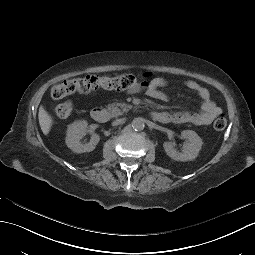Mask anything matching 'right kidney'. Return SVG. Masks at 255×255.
<instances>
[{
	"instance_id": "ca27d5eb",
	"label": "right kidney",
	"mask_w": 255,
	"mask_h": 255,
	"mask_svg": "<svg viewBox=\"0 0 255 255\" xmlns=\"http://www.w3.org/2000/svg\"><path fill=\"white\" fill-rule=\"evenodd\" d=\"M87 125V121L85 120H78L68 125L66 144L72 151L76 153L93 151L100 140L99 135L93 133L89 143H80V139L85 136L86 132L88 131Z\"/></svg>"
}]
</instances>
